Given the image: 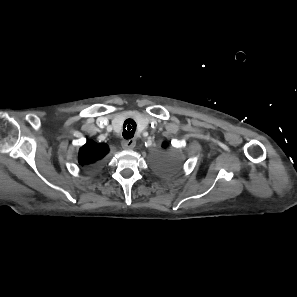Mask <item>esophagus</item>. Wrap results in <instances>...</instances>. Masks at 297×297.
<instances>
[{
  "instance_id": "esophagus-1",
  "label": "esophagus",
  "mask_w": 297,
  "mask_h": 297,
  "mask_svg": "<svg viewBox=\"0 0 297 297\" xmlns=\"http://www.w3.org/2000/svg\"><path fill=\"white\" fill-rule=\"evenodd\" d=\"M136 145L135 139L123 140L122 147L124 149H133Z\"/></svg>"
}]
</instances>
